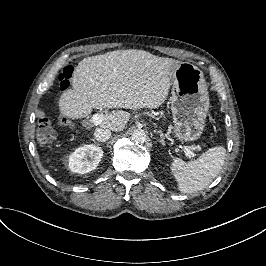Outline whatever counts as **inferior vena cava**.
I'll return each instance as SVG.
<instances>
[{"mask_svg": "<svg viewBox=\"0 0 266 266\" xmlns=\"http://www.w3.org/2000/svg\"><path fill=\"white\" fill-rule=\"evenodd\" d=\"M111 137V131L105 128H97L94 131V138L100 142H104Z\"/></svg>", "mask_w": 266, "mask_h": 266, "instance_id": "obj_1", "label": "inferior vena cava"}]
</instances>
